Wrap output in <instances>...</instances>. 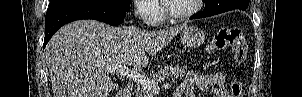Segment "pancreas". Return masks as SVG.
Here are the masks:
<instances>
[{
	"label": "pancreas",
	"instance_id": "obj_1",
	"mask_svg": "<svg viewBox=\"0 0 302 97\" xmlns=\"http://www.w3.org/2000/svg\"><path fill=\"white\" fill-rule=\"evenodd\" d=\"M186 71V67H182L179 65H166L163 69L159 71L157 76L153 78V81L160 82L164 80H171L172 82H176L178 79H181L185 76ZM137 97H152V92L141 86L138 89Z\"/></svg>",
	"mask_w": 302,
	"mask_h": 97
}]
</instances>
